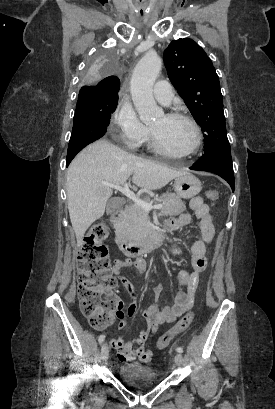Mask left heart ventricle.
Returning a JSON list of instances; mask_svg holds the SVG:
<instances>
[{
	"label": "left heart ventricle",
	"instance_id": "b2bd125f",
	"mask_svg": "<svg viewBox=\"0 0 275 409\" xmlns=\"http://www.w3.org/2000/svg\"><path fill=\"white\" fill-rule=\"evenodd\" d=\"M149 126L158 135L163 144L173 151H186L193 143V129L184 120L170 121L164 115H161Z\"/></svg>",
	"mask_w": 275,
	"mask_h": 409
}]
</instances>
